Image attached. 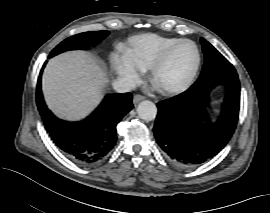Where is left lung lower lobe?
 Here are the masks:
<instances>
[{"mask_svg": "<svg viewBox=\"0 0 270 213\" xmlns=\"http://www.w3.org/2000/svg\"><path fill=\"white\" fill-rule=\"evenodd\" d=\"M223 85L227 93L223 99L219 119L204 125L199 111L209 103L211 91ZM158 115L154 135L167 159L182 168L195 167L216 156L228 143L237 125L240 107V84L235 69L182 94L157 104Z\"/></svg>", "mask_w": 270, "mask_h": 213, "instance_id": "left-lung-lower-lobe-1", "label": "left lung lower lobe"}]
</instances>
